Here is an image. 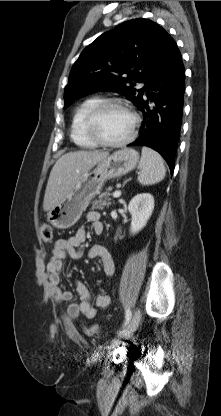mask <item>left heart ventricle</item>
<instances>
[{
    "label": "left heart ventricle",
    "mask_w": 221,
    "mask_h": 416,
    "mask_svg": "<svg viewBox=\"0 0 221 416\" xmlns=\"http://www.w3.org/2000/svg\"><path fill=\"white\" fill-rule=\"evenodd\" d=\"M132 118L119 107H109L102 112L97 121V130L108 141H120L130 132Z\"/></svg>",
    "instance_id": "left-heart-ventricle-1"
}]
</instances>
